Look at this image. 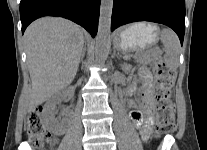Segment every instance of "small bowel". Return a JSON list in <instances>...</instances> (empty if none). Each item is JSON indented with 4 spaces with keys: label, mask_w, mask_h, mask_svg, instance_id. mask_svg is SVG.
Returning <instances> with one entry per match:
<instances>
[{
    "label": "small bowel",
    "mask_w": 207,
    "mask_h": 150,
    "mask_svg": "<svg viewBox=\"0 0 207 150\" xmlns=\"http://www.w3.org/2000/svg\"><path fill=\"white\" fill-rule=\"evenodd\" d=\"M141 76L144 80V84L141 87V95L146 107V112L142 113L138 110H132L130 112V118L136 128L139 130L143 140H147L150 137L152 124H153V106L154 101L152 97V78L149 71L146 68L141 69ZM133 91V87L127 89V93L130 94Z\"/></svg>",
    "instance_id": "c3829d8e"
}]
</instances>
